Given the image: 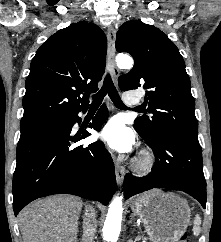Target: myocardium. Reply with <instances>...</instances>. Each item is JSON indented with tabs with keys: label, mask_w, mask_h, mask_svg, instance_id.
I'll return each instance as SVG.
<instances>
[{
	"label": "myocardium",
	"mask_w": 221,
	"mask_h": 242,
	"mask_svg": "<svg viewBox=\"0 0 221 242\" xmlns=\"http://www.w3.org/2000/svg\"><path fill=\"white\" fill-rule=\"evenodd\" d=\"M154 164V156L151 152L145 150L135 161V167L140 172L149 171Z\"/></svg>",
	"instance_id": "obj_1"
}]
</instances>
